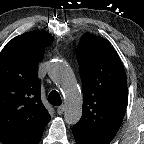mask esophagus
Here are the masks:
<instances>
[{"label": "esophagus", "instance_id": "esophagus-1", "mask_svg": "<svg viewBox=\"0 0 144 144\" xmlns=\"http://www.w3.org/2000/svg\"><path fill=\"white\" fill-rule=\"evenodd\" d=\"M64 110H65V106H64V105H61V106H59V107L57 108V113H58L59 115H62L63 112H64Z\"/></svg>", "mask_w": 144, "mask_h": 144}]
</instances>
